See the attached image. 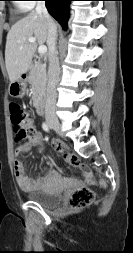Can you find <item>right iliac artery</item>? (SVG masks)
Returning <instances> with one entry per match:
<instances>
[{"mask_svg":"<svg viewBox=\"0 0 133 253\" xmlns=\"http://www.w3.org/2000/svg\"><path fill=\"white\" fill-rule=\"evenodd\" d=\"M42 128H43V130L44 131H46V132H49V126H48V124L46 123V122H44L43 124H42Z\"/></svg>","mask_w":133,"mask_h":253,"instance_id":"82829eb1","label":"right iliac artery"}]
</instances>
